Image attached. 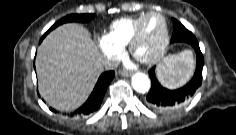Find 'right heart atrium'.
<instances>
[{
	"label": "right heart atrium",
	"mask_w": 236,
	"mask_h": 135,
	"mask_svg": "<svg viewBox=\"0 0 236 135\" xmlns=\"http://www.w3.org/2000/svg\"><path fill=\"white\" fill-rule=\"evenodd\" d=\"M95 39L99 49L109 64H112L121 57L122 49L113 44L106 35H97Z\"/></svg>",
	"instance_id": "1"
}]
</instances>
